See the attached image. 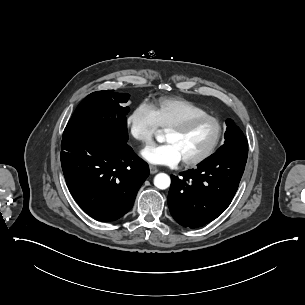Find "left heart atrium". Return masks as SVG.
<instances>
[{"mask_svg": "<svg viewBox=\"0 0 305 305\" xmlns=\"http://www.w3.org/2000/svg\"><path fill=\"white\" fill-rule=\"evenodd\" d=\"M141 156L149 163L158 165H174L182 160L179 150L170 142L148 146L141 151Z\"/></svg>", "mask_w": 305, "mask_h": 305, "instance_id": "39dd6f15", "label": "left heart atrium"}]
</instances>
